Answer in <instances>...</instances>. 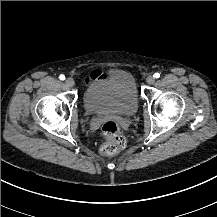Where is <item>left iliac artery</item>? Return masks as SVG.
Segmentation results:
<instances>
[{
  "mask_svg": "<svg viewBox=\"0 0 217 217\" xmlns=\"http://www.w3.org/2000/svg\"><path fill=\"white\" fill-rule=\"evenodd\" d=\"M153 76H154L155 78H159V77H160V74H159V73H155Z\"/></svg>",
  "mask_w": 217,
  "mask_h": 217,
  "instance_id": "obj_1",
  "label": "left iliac artery"
}]
</instances>
